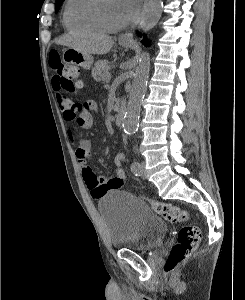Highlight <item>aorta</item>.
I'll list each match as a JSON object with an SVG mask.
<instances>
[{
    "instance_id": "obj_1",
    "label": "aorta",
    "mask_w": 245,
    "mask_h": 300,
    "mask_svg": "<svg viewBox=\"0 0 245 300\" xmlns=\"http://www.w3.org/2000/svg\"><path fill=\"white\" fill-rule=\"evenodd\" d=\"M163 11L162 0H149L143 7L141 14V29L143 32L150 31L159 21ZM150 57L143 53L142 61L136 68L132 88L129 95L128 105L124 116V132L131 136L138 128L141 102L147 89Z\"/></svg>"
}]
</instances>
